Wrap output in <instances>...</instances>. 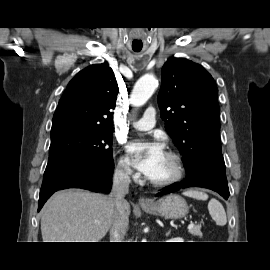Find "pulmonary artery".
<instances>
[{"instance_id":"pulmonary-artery-1","label":"pulmonary artery","mask_w":270,"mask_h":270,"mask_svg":"<svg viewBox=\"0 0 270 270\" xmlns=\"http://www.w3.org/2000/svg\"><path fill=\"white\" fill-rule=\"evenodd\" d=\"M155 116H156V111L153 107L147 108L145 110L144 116L133 122V127L141 130V131H147L152 129L155 126Z\"/></svg>"}]
</instances>
